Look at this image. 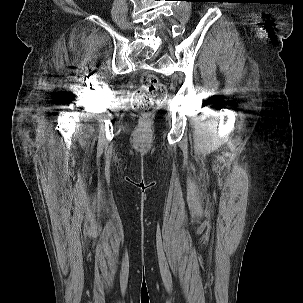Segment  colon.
<instances>
[{"label":"colon","mask_w":303,"mask_h":303,"mask_svg":"<svg viewBox=\"0 0 303 303\" xmlns=\"http://www.w3.org/2000/svg\"><path fill=\"white\" fill-rule=\"evenodd\" d=\"M166 97V86L153 74L144 75L135 92V102L143 112L153 111Z\"/></svg>","instance_id":"5ec220e1"}]
</instances>
